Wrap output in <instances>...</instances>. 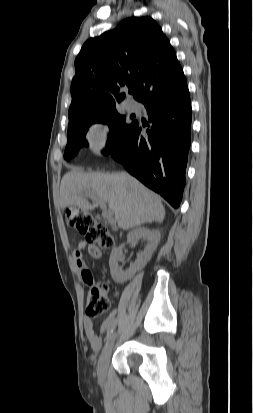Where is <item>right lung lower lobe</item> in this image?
I'll return each mask as SVG.
<instances>
[{
  "label": "right lung lower lobe",
  "mask_w": 253,
  "mask_h": 413,
  "mask_svg": "<svg viewBox=\"0 0 253 413\" xmlns=\"http://www.w3.org/2000/svg\"><path fill=\"white\" fill-rule=\"evenodd\" d=\"M143 104L151 123L147 135L141 133V125L135 121L123 140L109 153L130 174L178 208L191 142L192 109L188 87L177 94L152 98Z\"/></svg>",
  "instance_id": "right-lung-lower-lobe-1"
}]
</instances>
